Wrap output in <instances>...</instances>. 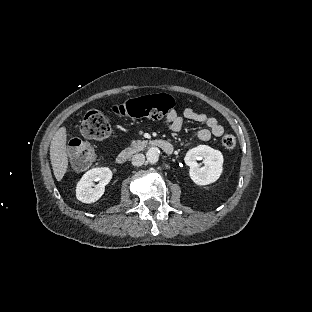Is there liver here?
I'll return each mask as SVG.
<instances>
[{"label":"liver","instance_id":"obj_1","mask_svg":"<svg viewBox=\"0 0 312 312\" xmlns=\"http://www.w3.org/2000/svg\"><path fill=\"white\" fill-rule=\"evenodd\" d=\"M66 137V128L61 127L56 131L51 140L50 160L57 181L62 180L68 167Z\"/></svg>","mask_w":312,"mask_h":312}]
</instances>
